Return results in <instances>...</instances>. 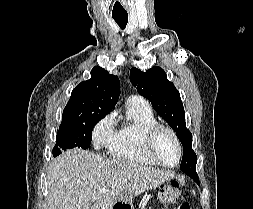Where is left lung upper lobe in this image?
I'll return each mask as SVG.
<instances>
[{
	"label": "left lung upper lobe",
	"instance_id": "obj_1",
	"mask_svg": "<svg viewBox=\"0 0 253 209\" xmlns=\"http://www.w3.org/2000/svg\"><path fill=\"white\" fill-rule=\"evenodd\" d=\"M130 81L140 95L151 101L155 111L179 137L184 150L180 169L188 176L195 174L197 156L192 149V134L186 128L179 91L167 80V75L161 67H152L146 72L133 67L130 70Z\"/></svg>",
	"mask_w": 253,
	"mask_h": 209
}]
</instances>
